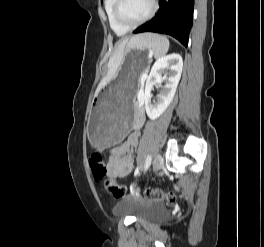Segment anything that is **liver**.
I'll return each instance as SVG.
<instances>
[{
	"instance_id": "6515ba94",
	"label": "liver",
	"mask_w": 264,
	"mask_h": 247,
	"mask_svg": "<svg viewBox=\"0 0 264 247\" xmlns=\"http://www.w3.org/2000/svg\"><path fill=\"white\" fill-rule=\"evenodd\" d=\"M143 35H137L129 39H124L119 43L117 46V49L113 56L110 58L109 63H108V73L107 76L102 79L100 84L97 87L96 94L107 84L109 83L117 73V70L119 66L122 63L123 57H124V52L125 48H127L129 43H134L138 39H140Z\"/></svg>"
}]
</instances>
